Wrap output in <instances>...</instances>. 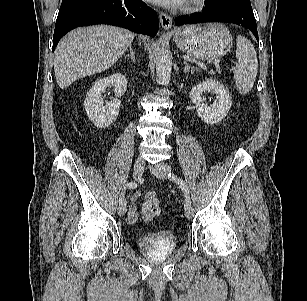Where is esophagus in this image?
I'll use <instances>...</instances> for the list:
<instances>
[{"mask_svg":"<svg viewBox=\"0 0 307 301\" xmlns=\"http://www.w3.org/2000/svg\"><path fill=\"white\" fill-rule=\"evenodd\" d=\"M160 23L163 29L170 30L172 28V18L166 13L160 12Z\"/></svg>","mask_w":307,"mask_h":301,"instance_id":"34e87169","label":"esophagus"}]
</instances>
